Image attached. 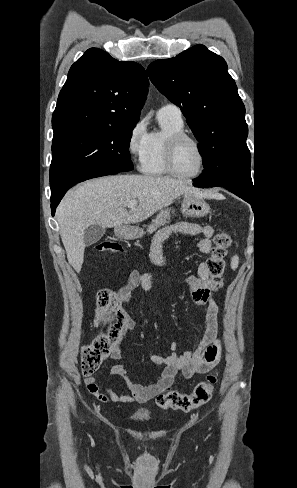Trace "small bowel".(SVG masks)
<instances>
[{
  "label": "small bowel",
  "mask_w": 297,
  "mask_h": 488,
  "mask_svg": "<svg viewBox=\"0 0 297 488\" xmlns=\"http://www.w3.org/2000/svg\"><path fill=\"white\" fill-rule=\"evenodd\" d=\"M174 233H182L191 236H199L196 247L204 255L211 250V237L213 228L205 225L189 222H179L159 230L152 239L150 257L152 262L157 266H163L171 262V257L162 252L163 244ZM154 286V279L151 273H139L133 271L130 273L128 281L115 294L119 305L129 302L138 288L149 291ZM187 286L191 300L199 305L205 306V326L200 334L197 345L182 353H178V344H170L169 355L150 354V357L157 367L161 368L159 375L146 384L134 381L129 375L126 366L117 362L110 369L111 374L123 378L130 394H125L122 390L114 391L106 386L104 392H100L97 378L94 375L85 378L87 390L103 402L130 404L134 401L145 403L151 399L168 392L174 384L175 377L181 373L184 378H192L196 375L206 373L218 361L219 344L217 342L219 309L215 300V293L221 288V283L212 281L209 277L207 262H202L197 273L187 278ZM124 314V332L131 331L135 328V320L127 313ZM94 322L98 325L104 324V321L97 315ZM121 340L119 339L116 348L111 357L118 361L121 357Z\"/></svg>",
  "instance_id": "c3829d8e"
}]
</instances>
